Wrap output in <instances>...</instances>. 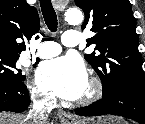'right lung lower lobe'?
Listing matches in <instances>:
<instances>
[{
	"instance_id": "98d812e1",
	"label": "right lung lower lobe",
	"mask_w": 145,
	"mask_h": 124,
	"mask_svg": "<svg viewBox=\"0 0 145 124\" xmlns=\"http://www.w3.org/2000/svg\"><path fill=\"white\" fill-rule=\"evenodd\" d=\"M30 104L29 93L24 81H0V112H21Z\"/></svg>"
}]
</instances>
